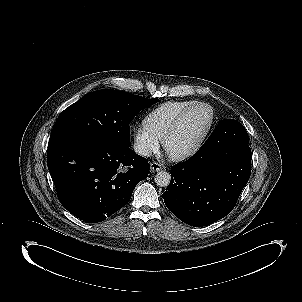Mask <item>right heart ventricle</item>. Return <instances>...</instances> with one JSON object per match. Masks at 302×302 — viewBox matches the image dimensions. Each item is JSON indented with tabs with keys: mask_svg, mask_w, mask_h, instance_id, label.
I'll list each match as a JSON object with an SVG mask.
<instances>
[{
	"mask_svg": "<svg viewBox=\"0 0 302 302\" xmlns=\"http://www.w3.org/2000/svg\"><path fill=\"white\" fill-rule=\"evenodd\" d=\"M191 107L187 102H170L153 112L146 121L147 130L156 138H164L184 111Z\"/></svg>",
	"mask_w": 302,
	"mask_h": 302,
	"instance_id": "right-heart-ventricle-1",
	"label": "right heart ventricle"
}]
</instances>
